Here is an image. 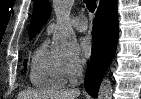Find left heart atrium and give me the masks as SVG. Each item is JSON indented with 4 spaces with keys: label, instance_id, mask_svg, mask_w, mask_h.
<instances>
[{
    "label": "left heart atrium",
    "instance_id": "1",
    "mask_svg": "<svg viewBox=\"0 0 141 99\" xmlns=\"http://www.w3.org/2000/svg\"><path fill=\"white\" fill-rule=\"evenodd\" d=\"M80 48L85 58L91 56L93 52V40L90 36H84L80 40Z\"/></svg>",
    "mask_w": 141,
    "mask_h": 99
}]
</instances>
